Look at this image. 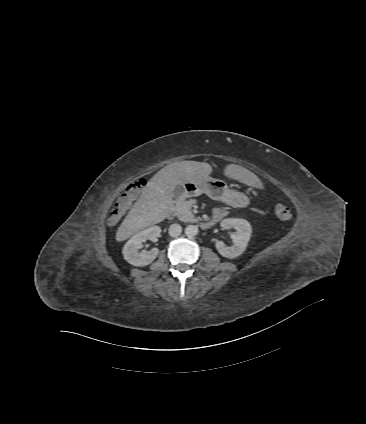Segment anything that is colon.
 Instances as JSON below:
<instances>
[{"label": "colon", "instance_id": "colon-1", "mask_svg": "<svg viewBox=\"0 0 366 424\" xmlns=\"http://www.w3.org/2000/svg\"><path fill=\"white\" fill-rule=\"evenodd\" d=\"M146 185V180L141 179L135 183L130 184L125 191L116 200L110 215L109 223H117L126 210L129 208L133 200L139 195L142 188ZM275 214L281 220H288L292 216V211L289 207L283 204H277L275 207Z\"/></svg>", "mask_w": 366, "mask_h": 424}]
</instances>
